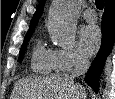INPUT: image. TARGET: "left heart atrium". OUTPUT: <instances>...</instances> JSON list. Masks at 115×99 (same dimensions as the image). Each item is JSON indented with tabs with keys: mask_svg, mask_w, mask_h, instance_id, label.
<instances>
[{
	"mask_svg": "<svg viewBox=\"0 0 115 99\" xmlns=\"http://www.w3.org/2000/svg\"><path fill=\"white\" fill-rule=\"evenodd\" d=\"M80 40L83 50L88 54H93L101 43L100 29L96 25L84 27L80 34Z\"/></svg>",
	"mask_w": 115,
	"mask_h": 99,
	"instance_id": "left-heart-atrium-1",
	"label": "left heart atrium"
}]
</instances>
